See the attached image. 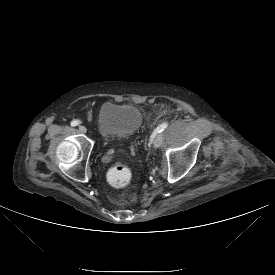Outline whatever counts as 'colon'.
Returning <instances> with one entry per match:
<instances>
[{"mask_svg": "<svg viewBox=\"0 0 275 275\" xmlns=\"http://www.w3.org/2000/svg\"><path fill=\"white\" fill-rule=\"evenodd\" d=\"M130 178L129 168L121 161L114 162L107 171V179L115 187L125 185Z\"/></svg>", "mask_w": 275, "mask_h": 275, "instance_id": "1", "label": "colon"}]
</instances>
